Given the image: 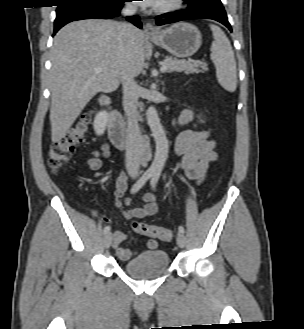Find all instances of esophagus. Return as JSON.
<instances>
[{"mask_svg": "<svg viewBox=\"0 0 304 329\" xmlns=\"http://www.w3.org/2000/svg\"><path fill=\"white\" fill-rule=\"evenodd\" d=\"M144 34L147 36H154L157 34V30L152 23L147 22L144 25Z\"/></svg>", "mask_w": 304, "mask_h": 329, "instance_id": "obj_1", "label": "esophagus"}]
</instances>
